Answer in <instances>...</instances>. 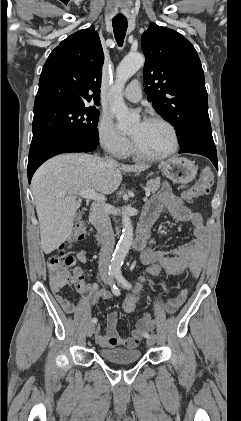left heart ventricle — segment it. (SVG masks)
I'll return each instance as SVG.
<instances>
[{
	"label": "left heart ventricle",
	"mask_w": 241,
	"mask_h": 421,
	"mask_svg": "<svg viewBox=\"0 0 241 421\" xmlns=\"http://www.w3.org/2000/svg\"><path fill=\"white\" fill-rule=\"evenodd\" d=\"M137 146L149 154H160L167 151L172 145V136L169 129L160 123L136 122L129 131Z\"/></svg>",
	"instance_id": "left-heart-ventricle-1"
}]
</instances>
